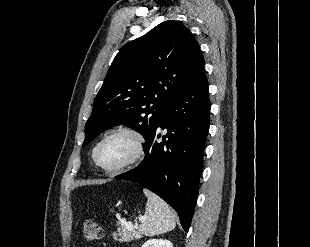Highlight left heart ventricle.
<instances>
[{
  "mask_svg": "<svg viewBox=\"0 0 310 247\" xmlns=\"http://www.w3.org/2000/svg\"><path fill=\"white\" fill-rule=\"evenodd\" d=\"M133 140L127 135L108 139L98 152V160L105 167H114L126 161L133 153Z\"/></svg>",
  "mask_w": 310,
  "mask_h": 247,
  "instance_id": "1",
  "label": "left heart ventricle"
}]
</instances>
